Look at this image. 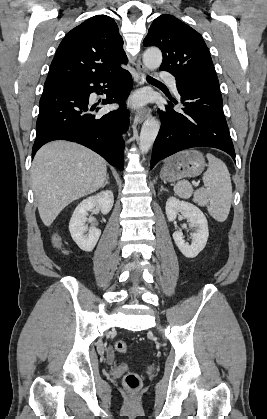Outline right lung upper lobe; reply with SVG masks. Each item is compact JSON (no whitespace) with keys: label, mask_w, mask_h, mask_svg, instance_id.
Wrapping results in <instances>:
<instances>
[{"label":"right lung upper lobe","mask_w":267,"mask_h":419,"mask_svg":"<svg viewBox=\"0 0 267 419\" xmlns=\"http://www.w3.org/2000/svg\"><path fill=\"white\" fill-rule=\"evenodd\" d=\"M127 62L115 21L96 15L72 29L60 43L46 82L103 77Z\"/></svg>","instance_id":"right-lung-upper-lobe-1"}]
</instances>
